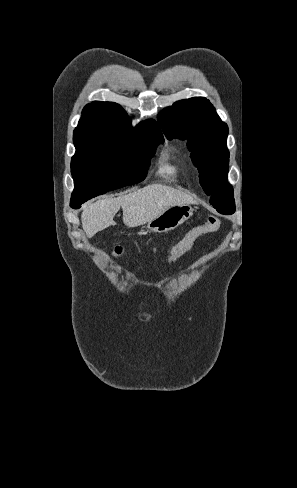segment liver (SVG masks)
<instances>
[{
  "instance_id": "1",
  "label": "liver",
  "mask_w": 297,
  "mask_h": 488,
  "mask_svg": "<svg viewBox=\"0 0 297 488\" xmlns=\"http://www.w3.org/2000/svg\"><path fill=\"white\" fill-rule=\"evenodd\" d=\"M194 200L180 190L161 184H151L117 198H105L84 207L81 214L82 228L88 237L115 225L113 220L120 208L123 222L128 227L143 225L166 209L177 204H190Z\"/></svg>"
}]
</instances>
